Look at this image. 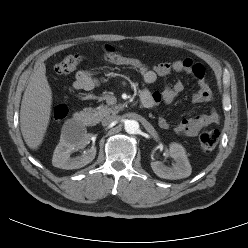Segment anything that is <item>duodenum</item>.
Returning <instances> with one entry per match:
<instances>
[{
    "label": "duodenum",
    "mask_w": 248,
    "mask_h": 248,
    "mask_svg": "<svg viewBox=\"0 0 248 248\" xmlns=\"http://www.w3.org/2000/svg\"><path fill=\"white\" fill-rule=\"evenodd\" d=\"M140 101L143 108H150L152 106L148 95L141 96ZM72 120L75 124L83 127H89L94 124L93 117L89 113L82 111L76 112Z\"/></svg>",
    "instance_id": "obj_1"
}]
</instances>
